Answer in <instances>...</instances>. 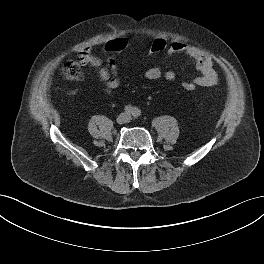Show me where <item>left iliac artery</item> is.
<instances>
[{"instance_id":"obj_1","label":"left iliac artery","mask_w":264,"mask_h":264,"mask_svg":"<svg viewBox=\"0 0 264 264\" xmlns=\"http://www.w3.org/2000/svg\"><path fill=\"white\" fill-rule=\"evenodd\" d=\"M141 114V111L138 108H135L133 111V116L134 117H139Z\"/></svg>"}]
</instances>
